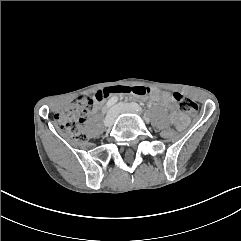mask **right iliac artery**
Segmentation results:
<instances>
[{"label":"right iliac artery","instance_id":"right-iliac-artery-1","mask_svg":"<svg viewBox=\"0 0 241 241\" xmlns=\"http://www.w3.org/2000/svg\"><path fill=\"white\" fill-rule=\"evenodd\" d=\"M118 101V98L117 97H112L106 104L105 106V111L111 107L112 105H114L116 102Z\"/></svg>","mask_w":241,"mask_h":241}]
</instances>
